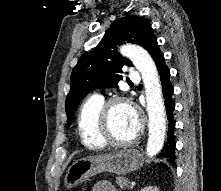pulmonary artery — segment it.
<instances>
[{
    "label": "pulmonary artery",
    "mask_w": 221,
    "mask_h": 191,
    "mask_svg": "<svg viewBox=\"0 0 221 191\" xmlns=\"http://www.w3.org/2000/svg\"><path fill=\"white\" fill-rule=\"evenodd\" d=\"M128 77L131 81H139V79H140V75L137 71H130L128 73Z\"/></svg>",
    "instance_id": "e3ab8cb5"
}]
</instances>
